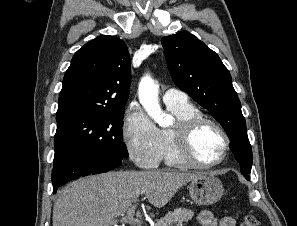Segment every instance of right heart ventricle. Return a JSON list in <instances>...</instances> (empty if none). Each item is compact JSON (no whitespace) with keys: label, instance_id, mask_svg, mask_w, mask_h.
Here are the masks:
<instances>
[{"label":"right heart ventricle","instance_id":"e07e8e85","mask_svg":"<svg viewBox=\"0 0 297 226\" xmlns=\"http://www.w3.org/2000/svg\"><path fill=\"white\" fill-rule=\"evenodd\" d=\"M167 108L176 117L177 121L201 116L200 111L190 103L188 105H167ZM170 130V128L159 130L162 143V159L169 167H186V164L181 161L175 151Z\"/></svg>","mask_w":297,"mask_h":226}]
</instances>
